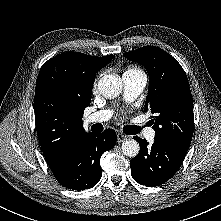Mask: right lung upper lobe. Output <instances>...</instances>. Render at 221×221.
Here are the masks:
<instances>
[{"label": "right lung upper lobe", "instance_id": "cb5924a9", "mask_svg": "<svg viewBox=\"0 0 221 221\" xmlns=\"http://www.w3.org/2000/svg\"><path fill=\"white\" fill-rule=\"evenodd\" d=\"M112 58L67 52L41 67L34 112L37 135L50 168L59 166L85 133L82 118L91 101L96 73Z\"/></svg>", "mask_w": 221, "mask_h": 221}]
</instances>
